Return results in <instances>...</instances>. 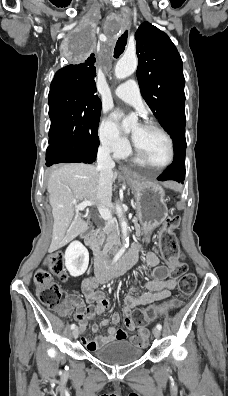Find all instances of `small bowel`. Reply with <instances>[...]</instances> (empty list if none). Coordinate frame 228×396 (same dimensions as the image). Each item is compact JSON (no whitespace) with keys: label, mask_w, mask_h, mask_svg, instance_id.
Masks as SVG:
<instances>
[{"label":"small bowel","mask_w":228,"mask_h":396,"mask_svg":"<svg viewBox=\"0 0 228 396\" xmlns=\"http://www.w3.org/2000/svg\"><path fill=\"white\" fill-rule=\"evenodd\" d=\"M145 241L150 243L151 239L146 238ZM139 247L140 245L136 244L129 254L135 259V262L138 258ZM145 262L149 267L153 268V279L144 284L147 291L143 293L137 292L136 288L131 286L125 297V304L123 307L126 328L129 331L137 329V334L129 336L125 329L117 328L116 325L120 321V314L115 312L112 314L111 318L103 319L100 323H94L92 325V331L94 333L98 332L100 327H108L106 335H99L94 339H88L86 337L81 338L82 344L88 350L96 349L98 346L114 340H127L140 346L146 344L149 331L144 327L137 328L131 321L132 309L137 305H149L171 297L172 290L176 288V281L169 276V269L161 265L157 248L153 247L152 250L146 254ZM103 283H105V281L102 276L98 274L87 277L82 282V292L86 301L91 306L86 307L80 304L75 314L81 333L86 331L89 319H92L95 315L103 314L109 306V301L104 292L97 290L98 285Z\"/></svg>","instance_id":"1"}]
</instances>
